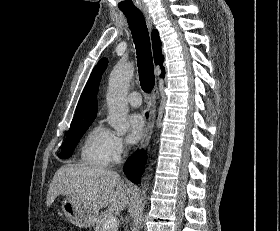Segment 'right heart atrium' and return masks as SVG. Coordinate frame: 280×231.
Returning <instances> with one entry per match:
<instances>
[{
  "mask_svg": "<svg viewBox=\"0 0 280 231\" xmlns=\"http://www.w3.org/2000/svg\"><path fill=\"white\" fill-rule=\"evenodd\" d=\"M127 144L121 137L109 132L106 136V151L108 159L111 162L119 159L126 151Z\"/></svg>",
  "mask_w": 280,
  "mask_h": 231,
  "instance_id": "obj_1",
  "label": "right heart atrium"
}]
</instances>
